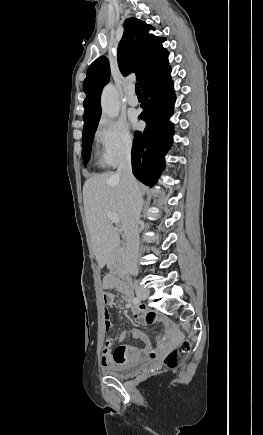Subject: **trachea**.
I'll list each match as a JSON object with an SVG mask.
<instances>
[{
    "label": "trachea",
    "mask_w": 263,
    "mask_h": 435,
    "mask_svg": "<svg viewBox=\"0 0 263 435\" xmlns=\"http://www.w3.org/2000/svg\"><path fill=\"white\" fill-rule=\"evenodd\" d=\"M135 92H136V94H141L139 83L135 84Z\"/></svg>",
    "instance_id": "1"
}]
</instances>
